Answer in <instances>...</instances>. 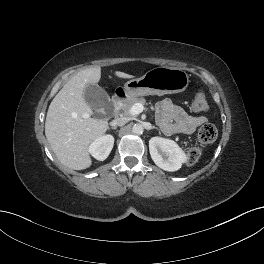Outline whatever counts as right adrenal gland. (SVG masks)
<instances>
[{
  "label": "right adrenal gland",
  "mask_w": 264,
  "mask_h": 264,
  "mask_svg": "<svg viewBox=\"0 0 264 264\" xmlns=\"http://www.w3.org/2000/svg\"><path fill=\"white\" fill-rule=\"evenodd\" d=\"M108 129H110V128H108ZM111 129H114V130H115V129H117V127H116V126H114V127H111Z\"/></svg>",
  "instance_id": "2a0ac1e0"
}]
</instances>
